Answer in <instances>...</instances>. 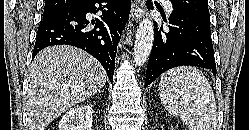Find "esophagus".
I'll use <instances>...</instances> for the list:
<instances>
[{
	"label": "esophagus",
	"instance_id": "esophagus-1",
	"mask_svg": "<svg viewBox=\"0 0 249 130\" xmlns=\"http://www.w3.org/2000/svg\"><path fill=\"white\" fill-rule=\"evenodd\" d=\"M145 0H136V2L133 3L130 13V20L138 22L142 16L143 13V5Z\"/></svg>",
	"mask_w": 249,
	"mask_h": 130
}]
</instances>
